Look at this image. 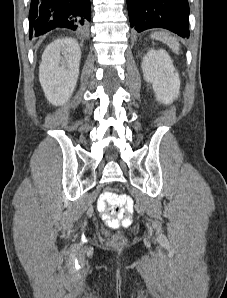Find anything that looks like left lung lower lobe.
<instances>
[{
    "label": "left lung lower lobe",
    "instance_id": "1",
    "mask_svg": "<svg viewBox=\"0 0 227 298\" xmlns=\"http://www.w3.org/2000/svg\"><path fill=\"white\" fill-rule=\"evenodd\" d=\"M131 28L142 32L150 28H165L189 37L188 0H127Z\"/></svg>",
    "mask_w": 227,
    "mask_h": 298
}]
</instances>
